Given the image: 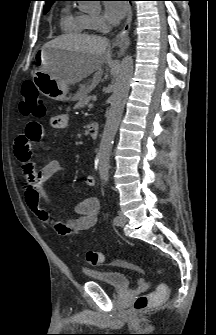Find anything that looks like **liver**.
I'll use <instances>...</instances> for the list:
<instances>
[{
	"label": "liver",
	"mask_w": 216,
	"mask_h": 335,
	"mask_svg": "<svg viewBox=\"0 0 216 335\" xmlns=\"http://www.w3.org/2000/svg\"><path fill=\"white\" fill-rule=\"evenodd\" d=\"M108 39L85 34L62 35L48 42L45 46L67 49L77 53L69 66L56 77L67 84H75L100 69L105 62H110L106 50Z\"/></svg>",
	"instance_id": "6515ba94"
}]
</instances>
